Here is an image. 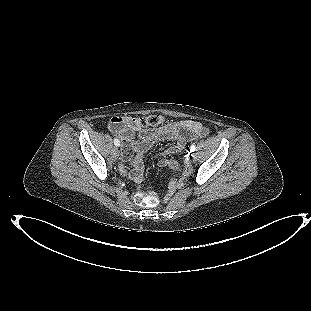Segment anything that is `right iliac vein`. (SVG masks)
Returning <instances> with one entry per match:
<instances>
[{
  "label": "right iliac vein",
  "mask_w": 311,
  "mask_h": 311,
  "mask_svg": "<svg viewBox=\"0 0 311 311\" xmlns=\"http://www.w3.org/2000/svg\"><path fill=\"white\" fill-rule=\"evenodd\" d=\"M112 155L113 156H118V148L117 147H114L113 149H112Z\"/></svg>",
  "instance_id": "right-iliac-vein-1"
}]
</instances>
